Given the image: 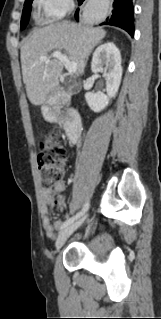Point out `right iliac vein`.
<instances>
[{"instance_id":"right-iliac-vein-1","label":"right iliac vein","mask_w":161,"mask_h":319,"mask_svg":"<svg viewBox=\"0 0 161 319\" xmlns=\"http://www.w3.org/2000/svg\"><path fill=\"white\" fill-rule=\"evenodd\" d=\"M84 219L85 217L81 218L60 232L55 243L56 250H59L65 244L69 236L83 223Z\"/></svg>"}]
</instances>
